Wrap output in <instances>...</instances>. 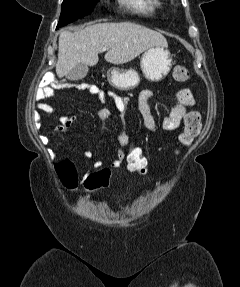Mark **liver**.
<instances>
[{
  "mask_svg": "<svg viewBox=\"0 0 240 287\" xmlns=\"http://www.w3.org/2000/svg\"><path fill=\"white\" fill-rule=\"evenodd\" d=\"M167 45L160 32L131 22L99 23L76 32L64 30L59 36L56 74L62 78L79 63L96 65L104 47L108 48L105 60L119 65L150 47Z\"/></svg>",
  "mask_w": 240,
  "mask_h": 287,
  "instance_id": "1",
  "label": "liver"
}]
</instances>
